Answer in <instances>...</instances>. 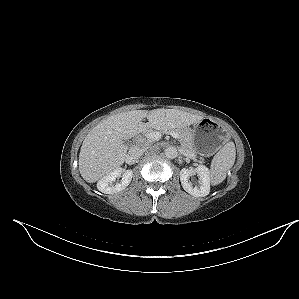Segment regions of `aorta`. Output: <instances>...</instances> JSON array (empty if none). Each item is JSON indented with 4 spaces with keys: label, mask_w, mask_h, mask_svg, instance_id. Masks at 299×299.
Wrapping results in <instances>:
<instances>
[{
    "label": "aorta",
    "mask_w": 299,
    "mask_h": 299,
    "mask_svg": "<svg viewBox=\"0 0 299 299\" xmlns=\"http://www.w3.org/2000/svg\"><path fill=\"white\" fill-rule=\"evenodd\" d=\"M164 154L169 159H174L178 155V150L174 146H169L165 149Z\"/></svg>",
    "instance_id": "762f6f07"
}]
</instances>
